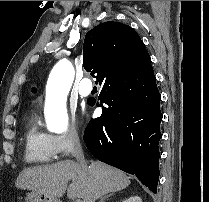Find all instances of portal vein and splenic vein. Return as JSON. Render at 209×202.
Masks as SVG:
<instances>
[{
	"instance_id": "obj_1",
	"label": "portal vein and splenic vein",
	"mask_w": 209,
	"mask_h": 202,
	"mask_svg": "<svg viewBox=\"0 0 209 202\" xmlns=\"http://www.w3.org/2000/svg\"><path fill=\"white\" fill-rule=\"evenodd\" d=\"M75 202H82V200L78 199V200H76Z\"/></svg>"
}]
</instances>
